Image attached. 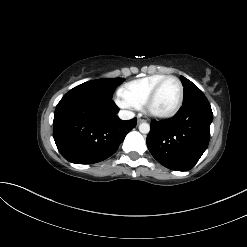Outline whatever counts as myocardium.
Wrapping results in <instances>:
<instances>
[{
    "label": "myocardium",
    "mask_w": 247,
    "mask_h": 247,
    "mask_svg": "<svg viewBox=\"0 0 247 247\" xmlns=\"http://www.w3.org/2000/svg\"><path fill=\"white\" fill-rule=\"evenodd\" d=\"M169 79L175 80L179 85V100H178L176 106L170 112H167L164 114L154 113L150 109L151 104L154 101V99H155L157 93L159 92L160 88L162 87V85ZM183 102H184V86H183L181 80L174 75H167L163 79H161L154 86V88L151 90V92L148 94V96L145 99V102L143 104V109H144V112L147 115H149L150 117L155 118V119L165 120V119H170V118L174 117L180 111V109L183 105Z\"/></svg>",
    "instance_id": "f54148a6"
}]
</instances>
